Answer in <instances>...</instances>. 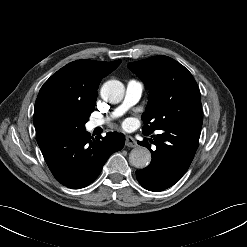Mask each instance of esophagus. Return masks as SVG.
I'll use <instances>...</instances> for the list:
<instances>
[{
    "label": "esophagus",
    "mask_w": 247,
    "mask_h": 247,
    "mask_svg": "<svg viewBox=\"0 0 247 247\" xmlns=\"http://www.w3.org/2000/svg\"><path fill=\"white\" fill-rule=\"evenodd\" d=\"M125 145L128 147H136L137 143L131 136H126Z\"/></svg>",
    "instance_id": "esophagus-1"
}]
</instances>
